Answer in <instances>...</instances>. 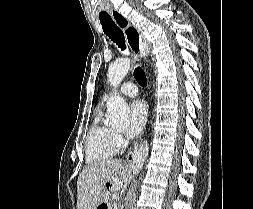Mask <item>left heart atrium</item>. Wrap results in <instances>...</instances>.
Here are the masks:
<instances>
[{
	"label": "left heart atrium",
	"mask_w": 253,
	"mask_h": 209,
	"mask_svg": "<svg viewBox=\"0 0 253 209\" xmlns=\"http://www.w3.org/2000/svg\"><path fill=\"white\" fill-rule=\"evenodd\" d=\"M148 116V110L145 102L135 100L130 107L129 126L126 130V135L133 138L141 133Z\"/></svg>",
	"instance_id": "left-heart-atrium-1"
}]
</instances>
